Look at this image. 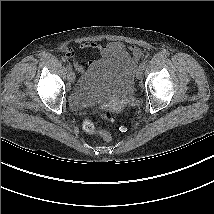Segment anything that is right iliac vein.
Instances as JSON below:
<instances>
[{
    "label": "right iliac vein",
    "mask_w": 214,
    "mask_h": 214,
    "mask_svg": "<svg viewBox=\"0 0 214 214\" xmlns=\"http://www.w3.org/2000/svg\"><path fill=\"white\" fill-rule=\"evenodd\" d=\"M68 80L70 82H74L75 80V73L71 69L68 70Z\"/></svg>",
    "instance_id": "right-iliac-vein-1"
}]
</instances>
